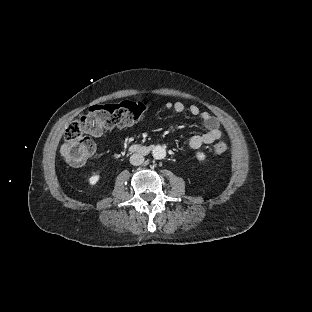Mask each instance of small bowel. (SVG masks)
<instances>
[{"mask_svg":"<svg viewBox=\"0 0 312 312\" xmlns=\"http://www.w3.org/2000/svg\"><path fill=\"white\" fill-rule=\"evenodd\" d=\"M165 106L168 110H173L178 114H182L186 110L185 105L180 101L167 102ZM188 112L194 117H200L203 125L207 129L205 133L193 135L189 139V146L192 149H197L205 144H212L221 138V124L220 120L216 116L207 111L201 110V108L196 104L190 105L188 107Z\"/></svg>","mask_w":312,"mask_h":312,"instance_id":"1","label":"small bowel"}]
</instances>
